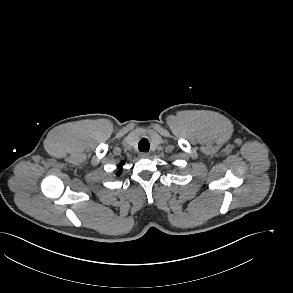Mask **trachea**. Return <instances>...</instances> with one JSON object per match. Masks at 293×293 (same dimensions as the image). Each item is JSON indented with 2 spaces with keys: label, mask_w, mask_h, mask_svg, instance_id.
<instances>
[{
  "label": "trachea",
  "mask_w": 293,
  "mask_h": 293,
  "mask_svg": "<svg viewBox=\"0 0 293 293\" xmlns=\"http://www.w3.org/2000/svg\"><path fill=\"white\" fill-rule=\"evenodd\" d=\"M150 148L149 141L146 138H142L138 143V149L142 152H148Z\"/></svg>",
  "instance_id": "3493384b"
}]
</instances>
